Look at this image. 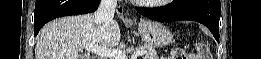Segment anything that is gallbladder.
Wrapping results in <instances>:
<instances>
[{
    "label": "gallbladder",
    "instance_id": "bac80fb5",
    "mask_svg": "<svg viewBox=\"0 0 261 59\" xmlns=\"http://www.w3.org/2000/svg\"><path fill=\"white\" fill-rule=\"evenodd\" d=\"M82 59H86V57H82Z\"/></svg>",
    "mask_w": 261,
    "mask_h": 59
}]
</instances>
